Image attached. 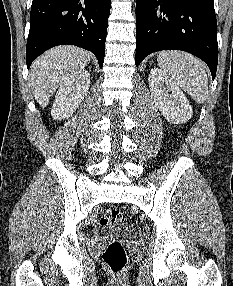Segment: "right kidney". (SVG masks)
I'll return each instance as SVG.
<instances>
[{
	"instance_id": "ca27d5eb",
	"label": "right kidney",
	"mask_w": 233,
	"mask_h": 286,
	"mask_svg": "<svg viewBox=\"0 0 233 286\" xmlns=\"http://www.w3.org/2000/svg\"><path fill=\"white\" fill-rule=\"evenodd\" d=\"M90 87V74L79 70L71 74L59 87L51 110L54 119L70 117L86 96Z\"/></svg>"
}]
</instances>
